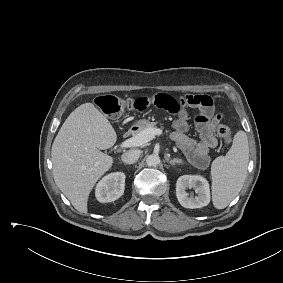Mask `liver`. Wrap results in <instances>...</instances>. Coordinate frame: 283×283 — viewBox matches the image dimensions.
<instances>
[{
    "label": "liver",
    "mask_w": 283,
    "mask_h": 283,
    "mask_svg": "<svg viewBox=\"0 0 283 283\" xmlns=\"http://www.w3.org/2000/svg\"><path fill=\"white\" fill-rule=\"evenodd\" d=\"M116 140L108 119L92 103H85L67 117L53 142L54 180L81 213H87L92 188L113 164V158L100 150L111 148Z\"/></svg>",
    "instance_id": "obj_1"
}]
</instances>
